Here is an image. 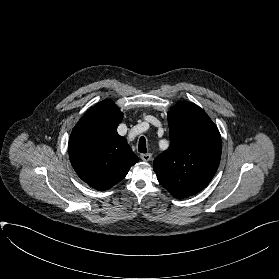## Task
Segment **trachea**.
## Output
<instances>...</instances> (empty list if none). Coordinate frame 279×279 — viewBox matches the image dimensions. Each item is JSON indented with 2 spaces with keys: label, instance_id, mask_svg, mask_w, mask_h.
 Listing matches in <instances>:
<instances>
[{
  "label": "trachea",
  "instance_id": "obj_1",
  "mask_svg": "<svg viewBox=\"0 0 279 279\" xmlns=\"http://www.w3.org/2000/svg\"><path fill=\"white\" fill-rule=\"evenodd\" d=\"M138 151L140 153H146L147 152L146 139L143 136H141L140 139H139Z\"/></svg>",
  "mask_w": 279,
  "mask_h": 279
}]
</instances>
